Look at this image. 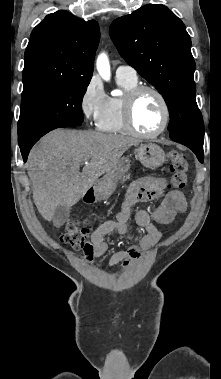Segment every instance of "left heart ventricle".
<instances>
[{
    "mask_svg": "<svg viewBox=\"0 0 221 379\" xmlns=\"http://www.w3.org/2000/svg\"><path fill=\"white\" fill-rule=\"evenodd\" d=\"M134 122L144 133L156 131L162 122V109L159 100L151 92L141 94L134 106Z\"/></svg>",
    "mask_w": 221,
    "mask_h": 379,
    "instance_id": "obj_1",
    "label": "left heart ventricle"
}]
</instances>
